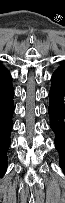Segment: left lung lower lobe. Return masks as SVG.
I'll list each match as a JSON object with an SVG mask.
<instances>
[{
  "instance_id": "obj_1",
  "label": "left lung lower lobe",
  "mask_w": 65,
  "mask_h": 203,
  "mask_svg": "<svg viewBox=\"0 0 65 203\" xmlns=\"http://www.w3.org/2000/svg\"><path fill=\"white\" fill-rule=\"evenodd\" d=\"M51 82L48 108L50 127L56 135L55 147L60 154L61 168L65 172V61L54 72Z\"/></svg>"
}]
</instances>
